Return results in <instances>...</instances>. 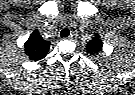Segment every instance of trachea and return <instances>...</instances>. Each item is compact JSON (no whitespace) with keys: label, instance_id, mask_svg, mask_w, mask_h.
Wrapping results in <instances>:
<instances>
[{"label":"trachea","instance_id":"trachea-1","mask_svg":"<svg viewBox=\"0 0 135 95\" xmlns=\"http://www.w3.org/2000/svg\"><path fill=\"white\" fill-rule=\"evenodd\" d=\"M70 34V31L68 28H65L63 29L61 32H60V36L63 38V37H68Z\"/></svg>","mask_w":135,"mask_h":95}]
</instances>
